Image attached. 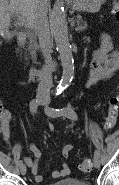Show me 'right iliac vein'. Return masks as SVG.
<instances>
[{
  "instance_id": "obj_1",
  "label": "right iliac vein",
  "mask_w": 119,
  "mask_h": 185,
  "mask_svg": "<svg viewBox=\"0 0 119 185\" xmlns=\"http://www.w3.org/2000/svg\"><path fill=\"white\" fill-rule=\"evenodd\" d=\"M43 103H44V101L43 100H40V104H43ZM20 172H21L22 175H25L26 174L27 168H26V165L25 164L20 165Z\"/></svg>"
}]
</instances>
